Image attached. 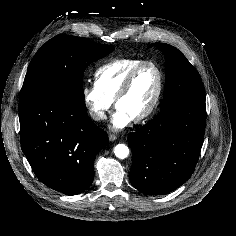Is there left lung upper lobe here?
<instances>
[{"instance_id": "5c2ea615", "label": "left lung upper lobe", "mask_w": 236, "mask_h": 236, "mask_svg": "<svg viewBox=\"0 0 236 236\" xmlns=\"http://www.w3.org/2000/svg\"><path fill=\"white\" fill-rule=\"evenodd\" d=\"M163 52L166 61V83L161 108L187 99H205V93L198 71L186 57L175 47L156 43Z\"/></svg>"}]
</instances>
